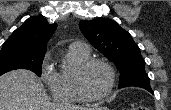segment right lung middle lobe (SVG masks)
<instances>
[{
	"instance_id": "dd1d6c3e",
	"label": "right lung middle lobe",
	"mask_w": 171,
	"mask_h": 110,
	"mask_svg": "<svg viewBox=\"0 0 171 110\" xmlns=\"http://www.w3.org/2000/svg\"><path fill=\"white\" fill-rule=\"evenodd\" d=\"M44 55L26 52L17 47L3 46L0 51V75L14 69H28L41 76Z\"/></svg>"
}]
</instances>
